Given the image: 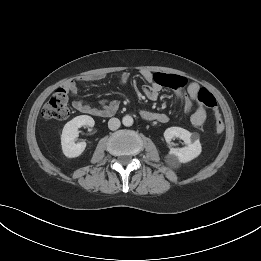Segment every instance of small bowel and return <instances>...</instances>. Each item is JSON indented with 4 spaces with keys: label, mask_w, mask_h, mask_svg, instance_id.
<instances>
[{
    "label": "small bowel",
    "mask_w": 261,
    "mask_h": 261,
    "mask_svg": "<svg viewBox=\"0 0 261 261\" xmlns=\"http://www.w3.org/2000/svg\"><path fill=\"white\" fill-rule=\"evenodd\" d=\"M144 79L148 82V85L143 87V92L146 97L150 100H155L159 96V93L163 87H170L175 90L176 95L181 100L184 111L189 113L191 111L192 115L190 121L194 127H201L206 120V111L204 107L198 102V93L200 87L196 83H190L186 90L183 88L187 84V79L179 75H168L162 73H153L148 70L141 72ZM105 77L102 73H94L85 75L81 78L82 82H94L99 81ZM129 73L123 72L120 76L121 83L125 84L129 80ZM65 91L75 95L78 92L77 82L72 80L65 84ZM197 103V107L194 108V104ZM74 109L81 113L90 115H109L113 113L117 104L115 102H104L102 109L91 107L86 104L83 100L76 99L72 103ZM141 116L149 121H157L160 123H166L169 118L164 113H156L148 110L141 112Z\"/></svg>",
    "instance_id": "obj_1"
}]
</instances>
